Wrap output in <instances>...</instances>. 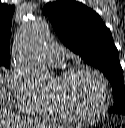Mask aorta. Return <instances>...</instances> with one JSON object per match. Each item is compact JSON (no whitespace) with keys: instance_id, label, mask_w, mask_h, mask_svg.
<instances>
[{"instance_id":"762f6f07","label":"aorta","mask_w":125,"mask_h":128,"mask_svg":"<svg viewBox=\"0 0 125 128\" xmlns=\"http://www.w3.org/2000/svg\"><path fill=\"white\" fill-rule=\"evenodd\" d=\"M49 34L48 26L41 20H27L14 39L17 66L41 90L53 86V75L38 55Z\"/></svg>"}]
</instances>
